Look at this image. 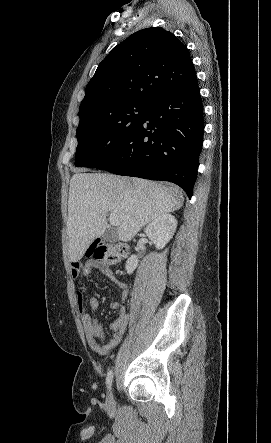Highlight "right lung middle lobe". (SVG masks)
Returning <instances> with one entry per match:
<instances>
[{
    "instance_id": "right-lung-middle-lobe-1",
    "label": "right lung middle lobe",
    "mask_w": 271,
    "mask_h": 443,
    "mask_svg": "<svg viewBox=\"0 0 271 443\" xmlns=\"http://www.w3.org/2000/svg\"><path fill=\"white\" fill-rule=\"evenodd\" d=\"M149 103L126 102L80 120L75 166L99 167L126 141L145 116Z\"/></svg>"
}]
</instances>
